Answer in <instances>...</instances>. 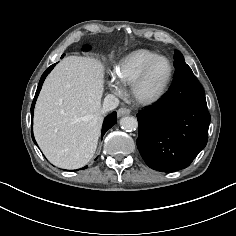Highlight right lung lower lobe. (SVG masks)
<instances>
[{
    "label": "right lung lower lobe",
    "instance_id": "right-lung-lower-lobe-1",
    "mask_svg": "<svg viewBox=\"0 0 236 236\" xmlns=\"http://www.w3.org/2000/svg\"><path fill=\"white\" fill-rule=\"evenodd\" d=\"M85 50H89L90 47L89 46H85L84 47ZM65 54L62 55V57H64ZM55 64L51 65L42 75L40 81H39V85H38V88H37V91L35 93V97H34V100H33V103H32V106H31V115H32V118H33V110H34V106H35V102H36V99H37V96L41 90V87H42V84L46 78V76L48 75V73H50V71L54 68ZM116 123V112H113L112 114L108 115L105 120H104V123H103V128H102V137L103 135L106 133V131H108L114 124ZM32 139L34 141V143L36 144V141L34 139V136H33V133H32ZM87 168L84 167L83 169Z\"/></svg>",
    "mask_w": 236,
    "mask_h": 236
}]
</instances>
